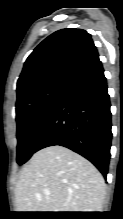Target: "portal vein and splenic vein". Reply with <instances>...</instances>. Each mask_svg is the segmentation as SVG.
<instances>
[{"label": "portal vein and splenic vein", "instance_id": "obj_1", "mask_svg": "<svg viewBox=\"0 0 123 219\" xmlns=\"http://www.w3.org/2000/svg\"><path fill=\"white\" fill-rule=\"evenodd\" d=\"M44 193H45V195H50L49 191H45Z\"/></svg>", "mask_w": 123, "mask_h": 219}]
</instances>
